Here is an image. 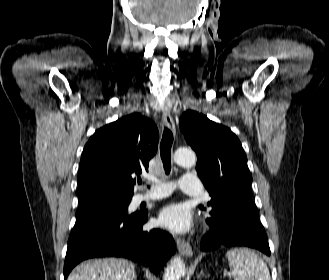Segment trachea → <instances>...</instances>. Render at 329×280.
Here are the masks:
<instances>
[{
  "instance_id": "trachea-1",
  "label": "trachea",
  "mask_w": 329,
  "mask_h": 280,
  "mask_svg": "<svg viewBox=\"0 0 329 280\" xmlns=\"http://www.w3.org/2000/svg\"><path fill=\"white\" fill-rule=\"evenodd\" d=\"M173 143V134L172 132L168 129L165 128L162 136V140L160 143V154H161V159L163 162V167L165 170V173L168 175L171 170V147ZM138 183L141 184L142 180L139 179Z\"/></svg>"
}]
</instances>
